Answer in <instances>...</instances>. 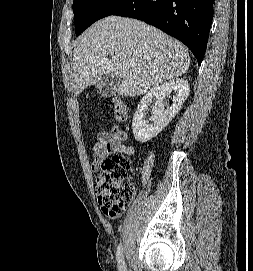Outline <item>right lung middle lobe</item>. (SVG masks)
Returning a JSON list of instances; mask_svg holds the SVG:
<instances>
[{
	"label": "right lung middle lobe",
	"instance_id": "obj_1",
	"mask_svg": "<svg viewBox=\"0 0 253 271\" xmlns=\"http://www.w3.org/2000/svg\"><path fill=\"white\" fill-rule=\"evenodd\" d=\"M127 0H74L73 12L76 35H80L95 21L112 15Z\"/></svg>",
	"mask_w": 253,
	"mask_h": 271
}]
</instances>
